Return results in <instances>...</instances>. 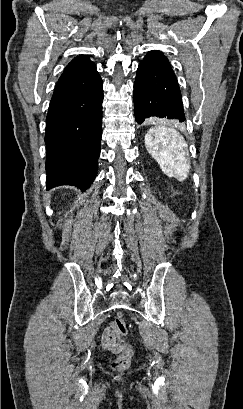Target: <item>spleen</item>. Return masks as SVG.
<instances>
[{
  "mask_svg": "<svg viewBox=\"0 0 243 409\" xmlns=\"http://www.w3.org/2000/svg\"><path fill=\"white\" fill-rule=\"evenodd\" d=\"M145 146L164 174L179 181L187 178L190 170L186 154L188 145L178 131L165 125H156L145 135Z\"/></svg>",
  "mask_w": 243,
  "mask_h": 409,
  "instance_id": "3e777b00",
  "label": "spleen"
}]
</instances>
